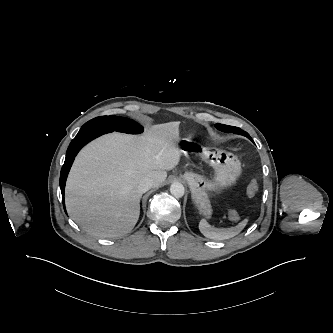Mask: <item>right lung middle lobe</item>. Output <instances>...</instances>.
I'll list each match as a JSON object with an SVG mask.
<instances>
[{
  "label": "right lung middle lobe",
  "mask_w": 333,
  "mask_h": 333,
  "mask_svg": "<svg viewBox=\"0 0 333 333\" xmlns=\"http://www.w3.org/2000/svg\"><path fill=\"white\" fill-rule=\"evenodd\" d=\"M111 129L131 134L141 133L143 127L137 122L124 117L114 115L96 117L85 123L80 130L86 129Z\"/></svg>",
  "instance_id": "obj_1"
}]
</instances>
